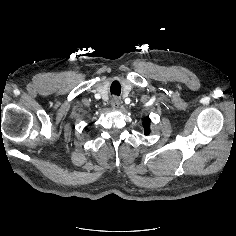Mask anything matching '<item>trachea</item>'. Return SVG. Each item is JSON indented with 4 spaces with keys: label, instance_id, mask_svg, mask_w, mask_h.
Wrapping results in <instances>:
<instances>
[{
    "label": "trachea",
    "instance_id": "3493384b",
    "mask_svg": "<svg viewBox=\"0 0 236 236\" xmlns=\"http://www.w3.org/2000/svg\"><path fill=\"white\" fill-rule=\"evenodd\" d=\"M111 94L119 96L121 93V85L118 81H113L110 87Z\"/></svg>",
    "mask_w": 236,
    "mask_h": 236
}]
</instances>
